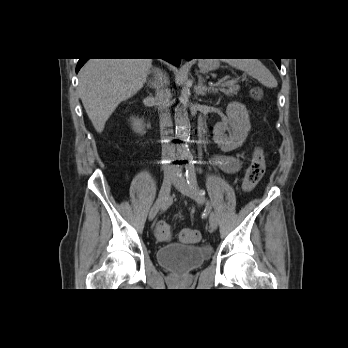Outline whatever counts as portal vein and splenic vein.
I'll list each match as a JSON object with an SVG mask.
<instances>
[{
    "instance_id": "1",
    "label": "portal vein and splenic vein",
    "mask_w": 348,
    "mask_h": 348,
    "mask_svg": "<svg viewBox=\"0 0 348 348\" xmlns=\"http://www.w3.org/2000/svg\"><path fill=\"white\" fill-rule=\"evenodd\" d=\"M233 82H235V80H227L225 82L223 81H219L216 84H213L214 86H227L229 84H232Z\"/></svg>"
}]
</instances>
